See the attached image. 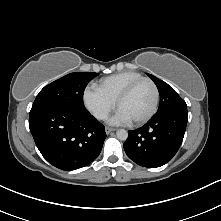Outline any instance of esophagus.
<instances>
[{
    "label": "esophagus",
    "mask_w": 221,
    "mask_h": 221,
    "mask_svg": "<svg viewBox=\"0 0 221 221\" xmlns=\"http://www.w3.org/2000/svg\"><path fill=\"white\" fill-rule=\"evenodd\" d=\"M113 131H115L114 128H111V127H105V132H106L107 134H109V133H111V132H113Z\"/></svg>",
    "instance_id": "34e87169"
}]
</instances>
